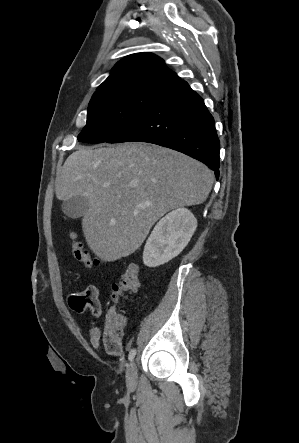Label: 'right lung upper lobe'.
<instances>
[{"mask_svg":"<svg viewBox=\"0 0 299 443\" xmlns=\"http://www.w3.org/2000/svg\"><path fill=\"white\" fill-rule=\"evenodd\" d=\"M180 81L177 74L160 57L147 52L136 53L120 60L94 95L121 88L168 89Z\"/></svg>","mask_w":299,"mask_h":443,"instance_id":"cb5924a9","label":"right lung upper lobe"}]
</instances>
